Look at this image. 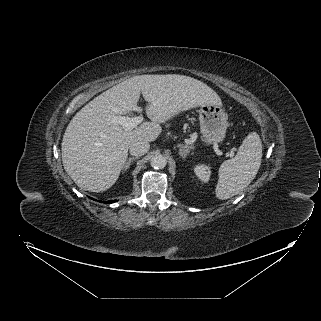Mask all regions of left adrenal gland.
Masks as SVG:
<instances>
[{
  "label": "left adrenal gland",
  "instance_id": "obj_1",
  "mask_svg": "<svg viewBox=\"0 0 321 321\" xmlns=\"http://www.w3.org/2000/svg\"><path fill=\"white\" fill-rule=\"evenodd\" d=\"M178 147H179V155L182 158H185L187 154L190 153V150L193 149L191 146L183 145V144H179Z\"/></svg>",
  "mask_w": 321,
  "mask_h": 321
}]
</instances>
